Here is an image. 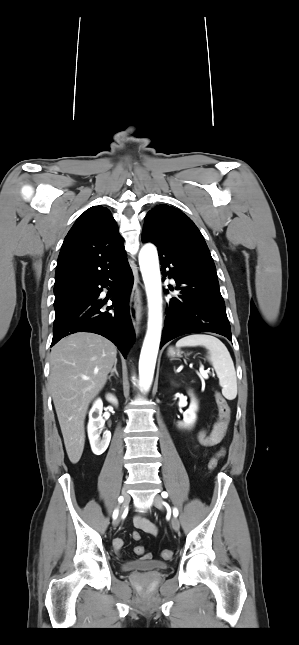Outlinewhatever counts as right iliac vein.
<instances>
[{
    "label": "right iliac vein",
    "instance_id": "63e3f726",
    "mask_svg": "<svg viewBox=\"0 0 299 645\" xmlns=\"http://www.w3.org/2000/svg\"><path fill=\"white\" fill-rule=\"evenodd\" d=\"M121 496L123 497V505H122V508H121V512H122L128 506V504L130 502V496H129V494L127 492V489L125 487L122 489ZM119 522H120V518H115L114 521H113V526L114 527L118 526Z\"/></svg>",
    "mask_w": 299,
    "mask_h": 645
}]
</instances>
